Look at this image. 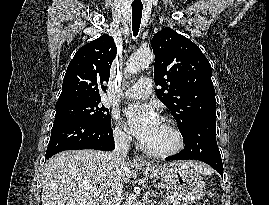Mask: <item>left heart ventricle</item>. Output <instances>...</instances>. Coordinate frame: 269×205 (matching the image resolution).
<instances>
[{
	"mask_svg": "<svg viewBox=\"0 0 269 205\" xmlns=\"http://www.w3.org/2000/svg\"><path fill=\"white\" fill-rule=\"evenodd\" d=\"M175 138L167 123L161 120V123L154 134L153 138L145 144L153 150H166L173 147Z\"/></svg>",
	"mask_w": 269,
	"mask_h": 205,
	"instance_id": "1",
	"label": "left heart ventricle"
}]
</instances>
